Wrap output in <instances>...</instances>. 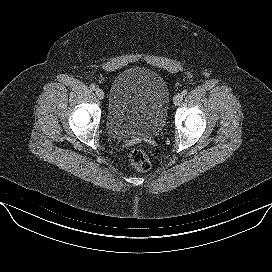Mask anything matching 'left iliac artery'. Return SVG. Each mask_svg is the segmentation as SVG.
<instances>
[{
    "instance_id": "left-iliac-artery-1",
    "label": "left iliac artery",
    "mask_w": 272,
    "mask_h": 272,
    "mask_svg": "<svg viewBox=\"0 0 272 272\" xmlns=\"http://www.w3.org/2000/svg\"><path fill=\"white\" fill-rule=\"evenodd\" d=\"M187 93H188V91H187V90H183V91L181 92L182 96L187 95Z\"/></svg>"
}]
</instances>
